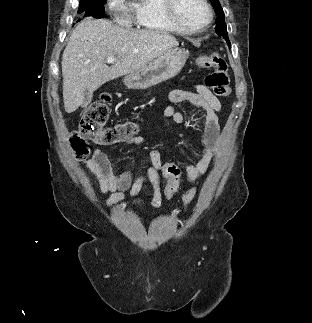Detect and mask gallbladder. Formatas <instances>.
Wrapping results in <instances>:
<instances>
[{
  "instance_id": "bac80fb5",
  "label": "gallbladder",
  "mask_w": 312,
  "mask_h": 323,
  "mask_svg": "<svg viewBox=\"0 0 312 323\" xmlns=\"http://www.w3.org/2000/svg\"><path fill=\"white\" fill-rule=\"evenodd\" d=\"M91 100H92V94H89V92L86 88V90L84 92V100H83L82 106H88V104H90Z\"/></svg>"
}]
</instances>
